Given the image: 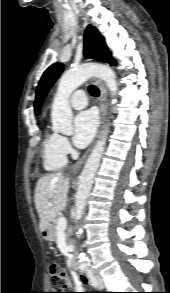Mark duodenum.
<instances>
[{
  "label": "duodenum",
  "instance_id": "obj_1",
  "mask_svg": "<svg viewBox=\"0 0 170 293\" xmlns=\"http://www.w3.org/2000/svg\"><path fill=\"white\" fill-rule=\"evenodd\" d=\"M47 232H46V230H43V234H46ZM72 266H73V268L75 269V270H78L79 269V263H78V259H77V257H74L73 259H72Z\"/></svg>",
  "mask_w": 170,
  "mask_h": 293
}]
</instances>
